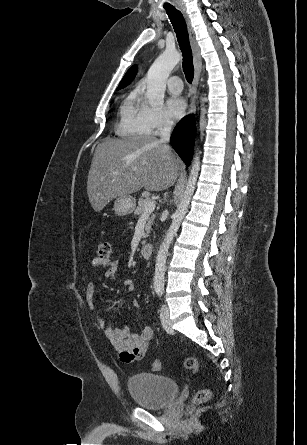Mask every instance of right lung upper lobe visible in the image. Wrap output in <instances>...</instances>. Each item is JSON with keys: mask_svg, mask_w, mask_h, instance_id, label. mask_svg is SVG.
Returning <instances> with one entry per match:
<instances>
[{"mask_svg": "<svg viewBox=\"0 0 307 445\" xmlns=\"http://www.w3.org/2000/svg\"><path fill=\"white\" fill-rule=\"evenodd\" d=\"M135 75H136V66H133L127 71V73L121 80V82L119 84V88H123V87L127 86L133 80Z\"/></svg>", "mask_w": 307, "mask_h": 445, "instance_id": "1", "label": "right lung upper lobe"}]
</instances>
